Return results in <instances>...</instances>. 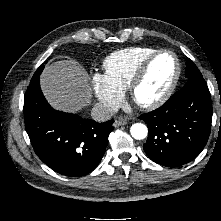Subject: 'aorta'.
<instances>
[{
  "instance_id": "762f6f07",
  "label": "aorta",
  "mask_w": 221,
  "mask_h": 221,
  "mask_svg": "<svg viewBox=\"0 0 221 221\" xmlns=\"http://www.w3.org/2000/svg\"><path fill=\"white\" fill-rule=\"evenodd\" d=\"M130 133L134 139L142 140L147 136L148 129L142 123H135L131 126Z\"/></svg>"
}]
</instances>
